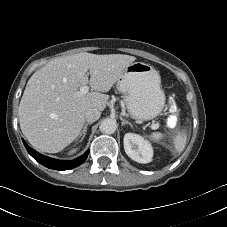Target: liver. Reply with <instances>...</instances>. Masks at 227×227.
Here are the masks:
<instances>
[{
	"mask_svg": "<svg viewBox=\"0 0 227 227\" xmlns=\"http://www.w3.org/2000/svg\"><path fill=\"white\" fill-rule=\"evenodd\" d=\"M135 60L130 55L81 52L53 59L37 70L19 105L20 128L28 142L42 152L62 151L80 135L88 109H105L106 93ZM87 84L92 91L79 94Z\"/></svg>",
	"mask_w": 227,
	"mask_h": 227,
	"instance_id": "obj_1",
	"label": "liver"
}]
</instances>
